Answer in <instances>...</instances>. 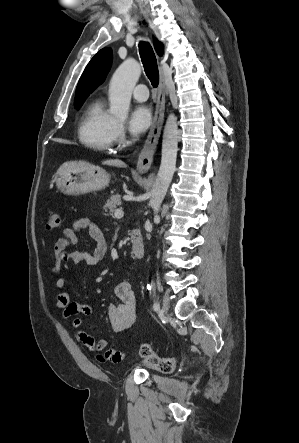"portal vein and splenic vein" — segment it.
Returning <instances> with one entry per match:
<instances>
[{
    "mask_svg": "<svg viewBox=\"0 0 299 443\" xmlns=\"http://www.w3.org/2000/svg\"><path fill=\"white\" fill-rule=\"evenodd\" d=\"M114 216L115 218H122L124 216L123 210L122 209L115 210Z\"/></svg>",
    "mask_w": 299,
    "mask_h": 443,
    "instance_id": "portal-vein-and-splenic-vein-1",
    "label": "portal vein and splenic vein"
}]
</instances>
